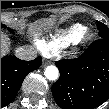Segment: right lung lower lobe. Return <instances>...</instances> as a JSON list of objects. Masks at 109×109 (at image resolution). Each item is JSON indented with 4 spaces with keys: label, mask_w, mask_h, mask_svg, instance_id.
Here are the masks:
<instances>
[{
    "label": "right lung lower lobe",
    "mask_w": 109,
    "mask_h": 109,
    "mask_svg": "<svg viewBox=\"0 0 109 109\" xmlns=\"http://www.w3.org/2000/svg\"><path fill=\"white\" fill-rule=\"evenodd\" d=\"M41 62V57L32 61H23L15 56L1 59V108L14 100L24 78L31 71L38 69Z\"/></svg>",
    "instance_id": "right-lung-lower-lobe-1"
}]
</instances>
